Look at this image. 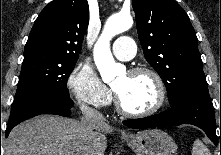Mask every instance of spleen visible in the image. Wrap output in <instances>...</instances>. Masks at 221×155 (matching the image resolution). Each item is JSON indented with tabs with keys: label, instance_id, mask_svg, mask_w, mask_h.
<instances>
[{
	"label": "spleen",
	"instance_id": "1",
	"mask_svg": "<svg viewBox=\"0 0 221 155\" xmlns=\"http://www.w3.org/2000/svg\"><path fill=\"white\" fill-rule=\"evenodd\" d=\"M192 155H211V153L200 140H195L192 147Z\"/></svg>",
	"mask_w": 221,
	"mask_h": 155
}]
</instances>
